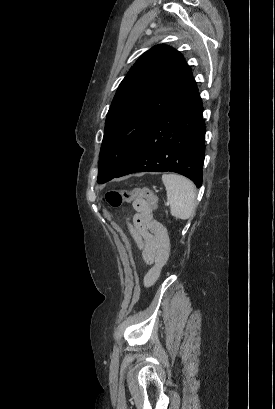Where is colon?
Masks as SVG:
<instances>
[{"mask_svg":"<svg viewBox=\"0 0 275 409\" xmlns=\"http://www.w3.org/2000/svg\"><path fill=\"white\" fill-rule=\"evenodd\" d=\"M139 199L146 200L152 210H156L158 208V198L148 188L133 190L112 189L109 190L104 196L106 203L113 208H119L123 203L135 202Z\"/></svg>","mask_w":275,"mask_h":409,"instance_id":"obj_1","label":"colon"}]
</instances>
